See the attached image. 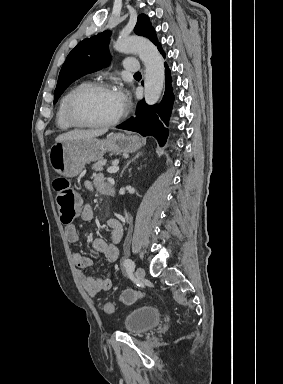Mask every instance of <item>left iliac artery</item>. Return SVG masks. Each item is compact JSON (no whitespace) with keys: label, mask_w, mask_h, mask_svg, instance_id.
<instances>
[{"label":"left iliac artery","mask_w":283,"mask_h":384,"mask_svg":"<svg viewBox=\"0 0 283 384\" xmlns=\"http://www.w3.org/2000/svg\"><path fill=\"white\" fill-rule=\"evenodd\" d=\"M124 266L126 267L128 273H132L135 268V263L131 259H127L124 261Z\"/></svg>","instance_id":"1"}]
</instances>
